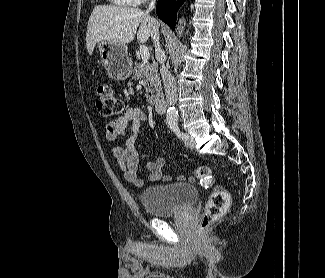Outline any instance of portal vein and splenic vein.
I'll use <instances>...</instances> for the list:
<instances>
[{"mask_svg":"<svg viewBox=\"0 0 325 278\" xmlns=\"http://www.w3.org/2000/svg\"><path fill=\"white\" fill-rule=\"evenodd\" d=\"M139 53L143 61H148L150 58V53L148 48L145 45H140Z\"/></svg>","mask_w":325,"mask_h":278,"instance_id":"1","label":"portal vein and splenic vein"}]
</instances>
